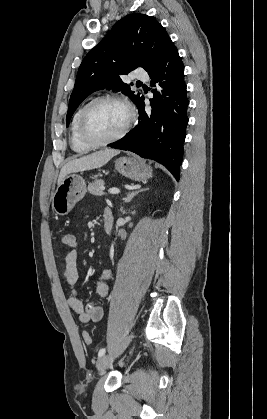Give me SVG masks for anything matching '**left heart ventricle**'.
Here are the masks:
<instances>
[{"instance_id":"left-heart-ventricle-1","label":"left heart ventricle","mask_w":267,"mask_h":419,"mask_svg":"<svg viewBox=\"0 0 267 419\" xmlns=\"http://www.w3.org/2000/svg\"><path fill=\"white\" fill-rule=\"evenodd\" d=\"M127 118L128 113L124 105L115 101H104L89 111L85 130L91 138L105 140L116 135L125 125Z\"/></svg>"}]
</instances>
